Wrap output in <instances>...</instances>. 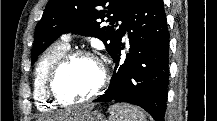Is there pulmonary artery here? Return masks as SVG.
<instances>
[{
    "mask_svg": "<svg viewBox=\"0 0 217 121\" xmlns=\"http://www.w3.org/2000/svg\"><path fill=\"white\" fill-rule=\"evenodd\" d=\"M64 40H65V42H69V41L71 40L70 35H66V36L64 37Z\"/></svg>",
    "mask_w": 217,
    "mask_h": 121,
    "instance_id": "pulmonary-artery-1",
    "label": "pulmonary artery"
}]
</instances>
